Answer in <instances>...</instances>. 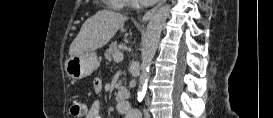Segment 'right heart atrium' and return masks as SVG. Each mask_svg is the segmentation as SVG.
Listing matches in <instances>:
<instances>
[{
	"instance_id": "right-heart-atrium-1",
	"label": "right heart atrium",
	"mask_w": 273,
	"mask_h": 118,
	"mask_svg": "<svg viewBox=\"0 0 273 118\" xmlns=\"http://www.w3.org/2000/svg\"><path fill=\"white\" fill-rule=\"evenodd\" d=\"M122 3H124V6L126 7H133L135 5V1L134 0H124L122 1Z\"/></svg>"
}]
</instances>
